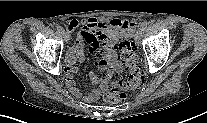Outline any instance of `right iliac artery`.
Wrapping results in <instances>:
<instances>
[{"mask_svg": "<svg viewBox=\"0 0 207 123\" xmlns=\"http://www.w3.org/2000/svg\"><path fill=\"white\" fill-rule=\"evenodd\" d=\"M57 30H58L60 33H62V34L65 32L64 29H63L62 27H60V26L57 27Z\"/></svg>", "mask_w": 207, "mask_h": 123, "instance_id": "right-iliac-artery-1", "label": "right iliac artery"}]
</instances>
